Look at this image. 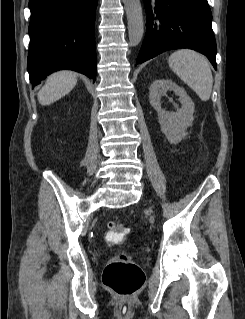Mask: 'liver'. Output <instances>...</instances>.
<instances>
[{
    "mask_svg": "<svg viewBox=\"0 0 245 319\" xmlns=\"http://www.w3.org/2000/svg\"><path fill=\"white\" fill-rule=\"evenodd\" d=\"M77 83V74L71 71H60L50 75L45 85L38 92L41 105H50L67 95Z\"/></svg>",
    "mask_w": 245,
    "mask_h": 319,
    "instance_id": "1",
    "label": "liver"
}]
</instances>
